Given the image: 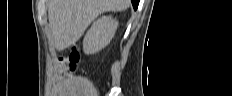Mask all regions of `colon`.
<instances>
[{
  "label": "colon",
  "mask_w": 232,
  "mask_h": 96,
  "mask_svg": "<svg viewBox=\"0 0 232 96\" xmlns=\"http://www.w3.org/2000/svg\"><path fill=\"white\" fill-rule=\"evenodd\" d=\"M79 61V52L76 48H72L67 56L60 58L58 65L61 69L71 74L76 71Z\"/></svg>",
  "instance_id": "obj_1"
}]
</instances>
